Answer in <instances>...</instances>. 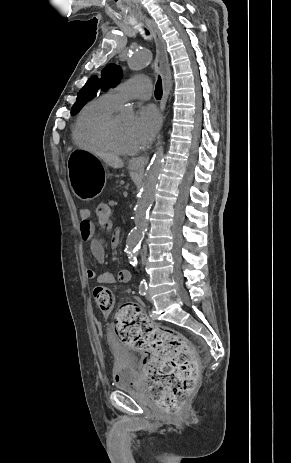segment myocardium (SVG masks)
Listing matches in <instances>:
<instances>
[{"instance_id":"f54148a6","label":"myocardium","mask_w":291,"mask_h":463,"mask_svg":"<svg viewBox=\"0 0 291 463\" xmlns=\"http://www.w3.org/2000/svg\"><path fill=\"white\" fill-rule=\"evenodd\" d=\"M117 116L118 115L113 114L109 118H107L103 123H101L98 126L96 133L110 151L124 156L134 155L138 152V149H124L120 147L115 140L114 130Z\"/></svg>"}]
</instances>
